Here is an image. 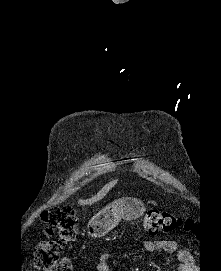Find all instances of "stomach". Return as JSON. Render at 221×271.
I'll list each match as a JSON object with an SVG mask.
<instances>
[{"instance_id":"1","label":"stomach","mask_w":221,"mask_h":271,"mask_svg":"<svg viewBox=\"0 0 221 271\" xmlns=\"http://www.w3.org/2000/svg\"><path fill=\"white\" fill-rule=\"evenodd\" d=\"M136 197H121L98 211L88 221L87 231L91 237H103L110 229L116 227L121 219H136L144 211V202H136Z\"/></svg>"}]
</instances>
